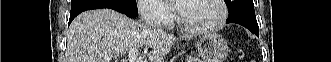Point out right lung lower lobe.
I'll return each instance as SVG.
<instances>
[{
  "label": "right lung lower lobe",
  "mask_w": 331,
  "mask_h": 62,
  "mask_svg": "<svg viewBox=\"0 0 331 62\" xmlns=\"http://www.w3.org/2000/svg\"><path fill=\"white\" fill-rule=\"evenodd\" d=\"M101 8H109V9H113V10H116L120 13H123L125 14L126 16L132 18V17H135L134 15H131L125 11H122L118 8H114V7H105V6H100V7H97V6H93V7H86V8H81V9H78V10H75V11H71L70 13V19H69V24L72 22V20L78 15L80 14L81 12L83 11H86V10H92V9H101Z\"/></svg>",
  "instance_id": "obj_1"
}]
</instances>
